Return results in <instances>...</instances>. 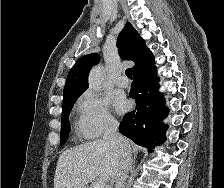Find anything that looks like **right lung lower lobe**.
<instances>
[{"label":"right lung lower lobe","mask_w":224,"mask_h":188,"mask_svg":"<svg viewBox=\"0 0 224 188\" xmlns=\"http://www.w3.org/2000/svg\"><path fill=\"white\" fill-rule=\"evenodd\" d=\"M133 77L129 96L135 100L136 108L125 114L119 131L151 150L165 140L167 126L162 119L167 117L168 109L163 108L165 100L158 92L159 78L154 62L133 73Z\"/></svg>","instance_id":"obj_1"}]
</instances>
